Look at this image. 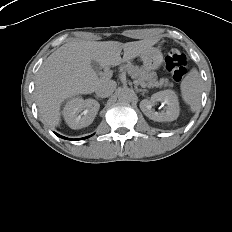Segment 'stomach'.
Wrapping results in <instances>:
<instances>
[{"label":"stomach","instance_id":"1","mask_svg":"<svg viewBox=\"0 0 232 232\" xmlns=\"http://www.w3.org/2000/svg\"><path fill=\"white\" fill-rule=\"evenodd\" d=\"M144 68L147 70L157 69L162 63V53L159 49L151 47L141 54Z\"/></svg>","mask_w":232,"mask_h":232}]
</instances>
